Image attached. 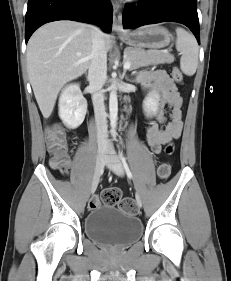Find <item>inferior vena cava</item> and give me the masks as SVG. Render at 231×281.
<instances>
[{
    "label": "inferior vena cava",
    "instance_id": "inferior-vena-cava-1",
    "mask_svg": "<svg viewBox=\"0 0 231 281\" xmlns=\"http://www.w3.org/2000/svg\"><path fill=\"white\" fill-rule=\"evenodd\" d=\"M106 53L104 34L99 28L92 27V53L88 70V81L92 91L99 148H106L108 145L107 115L105 112L104 94L102 90L107 78Z\"/></svg>",
    "mask_w": 231,
    "mask_h": 281
}]
</instances>
